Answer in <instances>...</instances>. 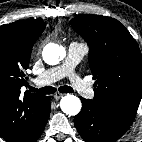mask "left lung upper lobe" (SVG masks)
Instances as JSON below:
<instances>
[{
  "label": "left lung upper lobe",
  "mask_w": 142,
  "mask_h": 142,
  "mask_svg": "<svg viewBox=\"0 0 142 142\" xmlns=\"http://www.w3.org/2000/svg\"><path fill=\"white\" fill-rule=\"evenodd\" d=\"M70 23L89 45L93 102L132 123L142 97V59L135 39L111 17L85 15Z\"/></svg>",
  "instance_id": "1"
}]
</instances>
